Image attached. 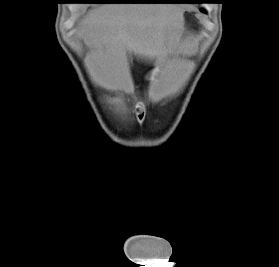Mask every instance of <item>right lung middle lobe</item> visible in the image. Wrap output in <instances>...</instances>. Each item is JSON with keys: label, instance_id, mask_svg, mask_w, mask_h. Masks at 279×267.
Returning a JSON list of instances; mask_svg holds the SVG:
<instances>
[{"label": "right lung middle lobe", "instance_id": "1", "mask_svg": "<svg viewBox=\"0 0 279 267\" xmlns=\"http://www.w3.org/2000/svg\"><path fill=\"white\" fill-rule=\"evenodd\" d=\"M115 2H131V1H140V0H111Z\"/></svg>", "mask_w": 279, "mask_h": 267}]
</instances>
